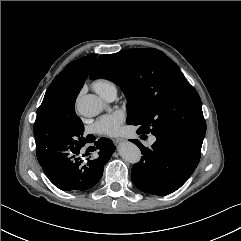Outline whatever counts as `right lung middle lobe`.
Wrapping results in <instances>:
<instances>
[{
  "label": "right lung middle lobe",
  "mask_w": 241,
  "mask_h": 241,
  "mask_svg": "<svg viewBox=\"0 0 241 241\" xmlns=\"http://www.w3.org/2000/svg\"><path fill=\"white\" fill-rule=\"evenodd\" d=\"M83 132L84 125L74 107L58 108L42 102L37 109L34 135L42 143L80 148L86 142Z\"/></svg>",
  "instance_id": "dd1d6c3e"
}]
</instances>
